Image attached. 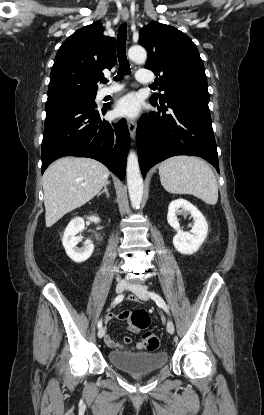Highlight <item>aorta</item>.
<instances>
[{
    "instance_id": "762f6f07",
    "label": "aorta",
    "mask_w": 264,
    "mask_h": 415,
    "mask_svg": "<svg viewBox=\"0 0 264 415\" xmlns=\"http://www.w3.org/2000/svg\"><path fill=\"white\" fill-rule=\"evenodd\" d=\"M128 56L134 62H144L147 58V52L141 46H132L128 51ZM126 172L131 204L134 208H139L143 196V179L137 155L133 151H130L128 155Z\"/></svg>"
}]
</instances>
